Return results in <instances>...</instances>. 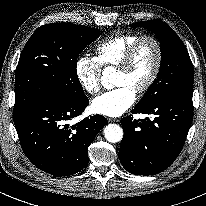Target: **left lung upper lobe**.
Wrapping results in <instances>:
<instances>
[{
  "mask_svg": "<svg viewBox=\"0 0 206 206\" xmlns=\"http://www.w3.org/2000/svg\"><path fill=\"white\" fill-rule=\"evenodd\" d=\"M148 28L161 44V67L156 80L137 106H147L175 95L193 94V65L188 51L172 28L162 20H148L131 24Z\"/></svg>",
  "mask_w": 206,
  "mask_h": 206,
  "instance_id": "5c2ea615",
  "label": "left lung upper lobe"
}]
</instances>
